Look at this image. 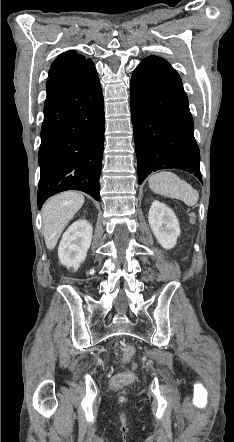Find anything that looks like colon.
I'll return each mask as SVG.
<instances>
[{"mask_svg": "<svg viewBox=\"0 0 234 442\" xmlns=\"http://www.w3.org/2000/svg\"><path fill=\"white\" fill-rule=\"evenodd\" d=\"M136 349L133 345H127L124 348V360L129 361L135 355ZM138 377L131 371H126L114 377L110 382L111 389H126L129 384H136Z\"/></svg>", "mask_w": 234, "mask_h": 442, "instance_id": "colon-1", "label": "colon"}]
</instances>
